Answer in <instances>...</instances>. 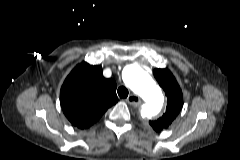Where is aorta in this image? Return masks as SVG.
<instances>
[{
	"mask_svg": "<svg viewBox=\"0 0 240 160\" xmlns=\"http://www.w3.org/2000/svg\"><path fill=\"white\" fill-rule=\"evenodd\" d=\"M124 82L137 93L143 104L141 115L152 118L158 115L163 107L164 96L161 88L154 82L150 75L137 65H128L123 70Z\"/></svg>",
	"mask_w": 240,
	"mask_h": 160,
	"instance_id": "aorta-1",
	"label": "aorta"
}]
</instances>
